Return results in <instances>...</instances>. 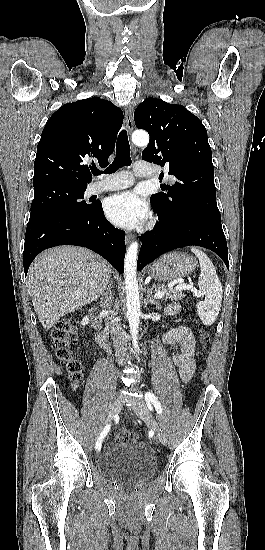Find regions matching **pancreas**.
Masks as SVG:
<instances>
[{"instance_id": "obj_1", "label": "pancreas", "mask_w": 265, "mask_h": 550, "mask_svg": "<svg viewBox=\"0 0 265 550\" xmlns=\"http://www.w3.org/2000/svg\"><path fill=\"white\" fill-rule=\"evenodd\" d=\"M154 289L158 292H164L165 296L164 299H171V300H182L185 297V294H183L180 291L175 290V288L167 287L164 284H156L153 285Z\"/></svg>"}]
</instances>
